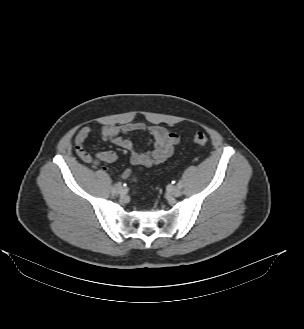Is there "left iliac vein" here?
I'll list each match as a JSON object with an SVG mask.
<instances>
[{
	"label": "left iliac vein",
	"instance_id": "left-iliac-vein-1",
	"mask_svg": "<svg viewBox=\"0 0 304 329\" xmlns=\"http://www.w3.org/2000/svg\"><path fill=\"white\" fill-rule=\"evenodd\" d=\"M170 194L174 197H179L181 195V190L179 187L177 186H173L171 189H170Z\"/></svg>",
	"mask_w": 304,
	"mask_h": 329
}]
</instances>
